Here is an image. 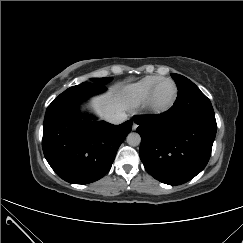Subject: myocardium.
Masks as SVG:
<instances>
[{
  "label": "myocardium",
  "mask_w": 243,
  "mask_h": 243,
  "mask_svg": "<svg viewBox=\"0 0 243 243\" xmlns=\"http://www.w3.org/2000/svg\"><path fill=\"white\" fill-rule=\"evenodd\" d=\"M166 82H171L174 85V89H175L174 96L169 103L159 106L155 103V95H156V92L158 91V89L160 88V86ZM178 94H179V90H178V86H177L176 82L171 78H164L161 81H159L151 90V92L145 102L146 108L149 112H151L153 114H157V115L163 114V113L169 111L174 106V104L178 98Z\"/></svg>",
  "instance_id": "f54148a6"
}]
</instances>
